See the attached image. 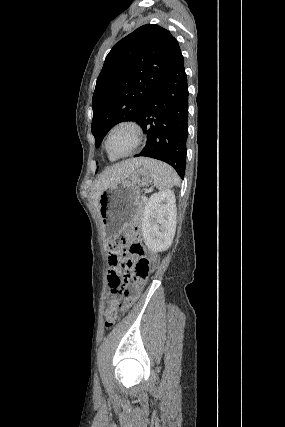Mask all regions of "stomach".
Returning <instances> with one entry per match:
<instances>
[{
	"instance_id": "obj_1",
	"label": "stomach",
	"mask_w": 285,
	"mask_h": 427,
	"mask_svg": "<svg viewBox=\"0 0 285 427\" xmlns=\"http://www.w3.org/2000/svg\"><path fill=\"white\" fill-rule=\"evenodd\" d=\"M151 182L148 170L138 167L128 178L103 191L99 198V214L106 239L117 236L125 226L137 220L141 188Z\"/></svg>"
}]
</instances>
